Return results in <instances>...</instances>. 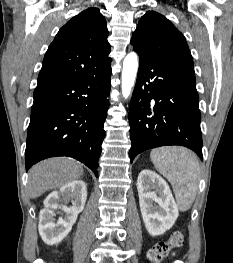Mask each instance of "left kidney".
Here are the masks:
<instances>
[{
  "instance_id": "obj_1",
  "label": "left kidney",
  "mask_w": 233,
  "mask_h": 263,
  "mask_svg": "<svg viewBox=\"0 0 233 263\" xmlns=\"http://www.w3.org/2000/svg\"><path fill=\"white\" fill-rule=\"evenodd\" d=\"M139 204L145 227L151 236L172 228L179 212L167 182L152 170L138 175Z\"/></svg>"
}]
</instances>
